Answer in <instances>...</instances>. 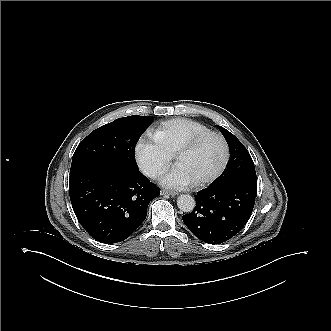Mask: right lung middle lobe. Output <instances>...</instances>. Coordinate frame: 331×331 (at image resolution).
I'll use <instances>...</instances> for the list:
<instances>
[{
    "label": "right lung middle lobe",
    "mask_w": 331,
    "mask_h": 331,
    "mask_svg": "<svg viewBox=\"0 0 331 331\" xmlns=\"http://www.w3.org/2000/svg\"><path fill=\"white\" fill-rule=\"evenodd\" d=\"M151 122V116L133 115L118 118L92 131L78 145L70 171L85 165L105 164L127 174H138L135 146Z\"/></svg>",
    "instance_id": "dd1d6c3e"
}]
</instances>
